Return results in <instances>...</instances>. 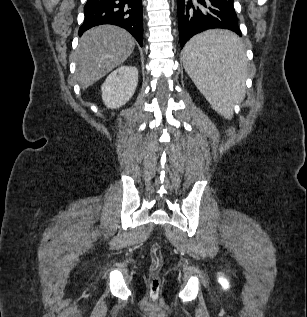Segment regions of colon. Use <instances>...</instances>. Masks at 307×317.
Instances as JSON below:
<instances>
[{
    "instance_id": "5ec220e1",
    "label": "colon",
    "mask_w": 307,
    "mask_h": 317,
    "mask_svg": "<svg viewBox=\"0 0 307 317\" xmlns=\"http://www.w3.org/2000/svg\"><path fill=\"white\" fill-rule=\"evenodd\" d=\"M152 264L150 267L149 286L152 295H158L160 289V269L162 266L161 247L154 244L151 247Z\"/></svg>"
}]
</instances>
